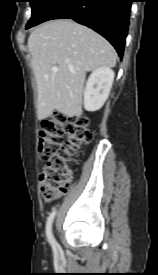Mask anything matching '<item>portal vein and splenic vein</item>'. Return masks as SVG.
Wrapping results in <instances>:
<instances>
[{"instance_id": "portal-vein-and-splenic-vein-1", "label": "portal vein and splenic vein", "mask_w": 158, "mask_h": 275, "mask_svg": "<svg viewBox=\"0 0 158 275\" xmlns=\"http://www.w3.org/2000/svg\"><path fill=\"white\" fill-rule=\"evenodd\" d=\"M52 70H53L54 72H57L59 69H58V67H53Z\"/></svg>"}]
</instances>
